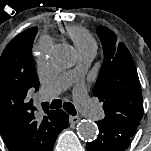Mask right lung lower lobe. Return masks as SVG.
Listing matches in <instances>:
<instances>
[{
  "label": "right lung lower lobe",
  "mask_w": 151,
  "mask_h": 151,
  "mask_svg": "<svg viewBox=\"0 0 151 151\" xmlns=\"http://www.w3.org/2000/svg\"><path fill=\"white\" fill-rule=\"evenodd\" d=\"M69 116L63 110H56L53 120L52 131L57 137L58 134L64 129L68 127Z\"/></svg>",
  "instance_id": "1"
}]
</instances>
